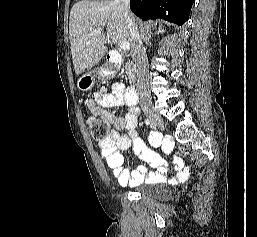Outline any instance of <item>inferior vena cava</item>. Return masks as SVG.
Here are the masks:
<instances>
[{"label": "inferior vena cava", "mask_w": 257, "mask_h": 237, "mask_svg": "<svg viewBox=\"0 0 257 237\" xmlns=\"http://www.w3.org/2000/svg\"><path fill=\"white\" fill-rule=\"evenodd\" d=\"M113 2L114 4L119 5L124 12V18L128 25L131 37L132 50L137 63V88L139 92L140 103L145 104L151 100L150 91L148 89V63L138 27L135 24V21L132 18L129 10L130 0H114Z\"/></svg>", "instance_id": "inferior-vena-cava-1"}]
</instances>
